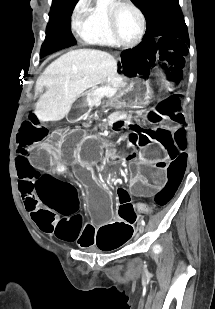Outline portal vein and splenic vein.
Returning <instances> with one entry per match:
<instances>
[{
  "mask_svg": "<svg viewBox=\"0 0 215 309\" xmlns=\"http://www.w3.org/2000/svg\"><path fill=\"white\" fill-rule=\"evenodd\" d=\"M102 90H104L105 94H108V92H114V88H102Z\"/></svg>",
  "mask_w": 215,
  "mask_h": 309,
  "instance_id": "obj_1",
  "label": "portal vein and splenic vein"
}]
</instances>
